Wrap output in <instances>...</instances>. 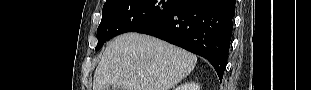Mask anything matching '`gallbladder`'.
<instances>
[{
  "mask_svg": "<svg viewBox=\"0 0 311 90\" xmlns=\"http://www.w3.org/2000/svg\"><path fill=\"white\" fill-rule=\"evenodd\" d=\"M112 90H123L121 87H113Z\"/></svg>",
  "mask_w": 311,
  "mask_h": 90,
  "instance_id": "gallbladder-1",
  "label": "gallbladder"
}]
</instances>
